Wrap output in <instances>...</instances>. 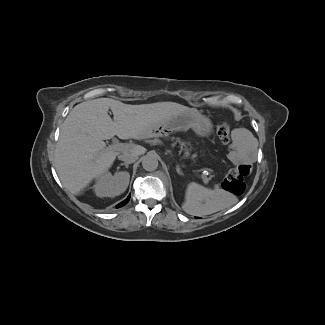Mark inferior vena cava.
Returning a JSON list of instances; mask_svg holds the SVG:
<instances>
[{"label": "inferior vena cava", "instance_id": "1", "mask_svg": "<svg viewBox=\"0 0 325 325\" xmlns=\"http://www.w3.org/2000/svg\"><path fill=\"white\" fill-rule=\"evenodd\" d=\"M119 160L125 161L126 163H134L138 159V155L136 153H124L118 156Z\"/></svg>", "mask_w": 325, "mask_h": 325}]
</instances>
